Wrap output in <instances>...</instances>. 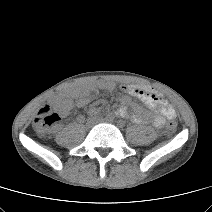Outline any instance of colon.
Listing matches in <instances>:
<instances>
[{"label": "colon", "instance_id": "1", "mask_svg": "<svg viewBox=\"0 0 212 212\" xmlns=\"http://www.w3.org/2000/svg\"><path fill=\"white\" fill-rule=\"evenodd\" d=\"M61 120L60 114L49 105H45L34 119L33 126L37 133L48 134ZM168 131L173 132L177 128L175 121H169L166 125Z\"/></svg>", "mask_w": 212, "mask_h": 212}]
</instances>
